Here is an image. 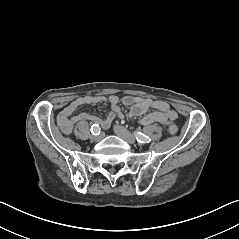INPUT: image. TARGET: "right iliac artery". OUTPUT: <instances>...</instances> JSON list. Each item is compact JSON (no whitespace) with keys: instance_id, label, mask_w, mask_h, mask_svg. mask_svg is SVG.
<instances>
[{"instance_id":"obj_1","label":"right iliac artery","mask_w":239,"mask_h":239,"mask_svg":"<svg viewBox=\"0 0 239 239\" xmlns=\"http://www.w3.org/2000/svg\"><path fill=\"white\" fill-rule=\"evenodd\" d=\"M91 133L93 135H99L101 133V128L98 124H93L92 127H91Z\"/></svg>"}]
</instances>
